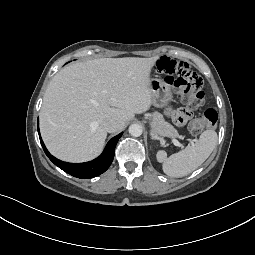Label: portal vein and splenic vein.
I'll use <instances>...</instances> for the list:
<instances>
[{"mask_svg":"<svg viewBox=\"0 0 255 255\" xmlns=\"http://www.w3.org/2000/svg\"><path fill=\"white\" fill-rule=\"evenodd\" d=\"M172 141H173V143H174L175 146H182V145L178 142V140L172 139ZM194 141H195V140H190L191 143H193Z\"/></svg>","mask_w":255,"mask_h":255,"instance_id":"18ae733b","label":"portal vein and splenic vein"}]
</instances>
